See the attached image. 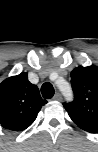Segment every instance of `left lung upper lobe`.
<instances>
[{
	"label": "left lung upper lobe",
	"mask_w": 98,
	"mask_h": 152,
	"mask_svg": "<svg viewBox=\"0 0 98 152\" xmlns=\"http://www.w3.org/2000/svg\"><path fill=\"white\" fill-rule=\"evenodd\" d=\"M74 100L63 103L73 122L83 130L98 131V67H77L71 72Z\"/></svg>",
	"instance_id": "5c2ea615"
}]
</instances>
